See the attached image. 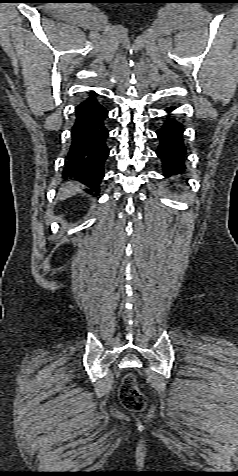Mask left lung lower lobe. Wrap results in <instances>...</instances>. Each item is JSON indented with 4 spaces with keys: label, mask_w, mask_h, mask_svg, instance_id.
Listing matches in <instances>:
<instances>
[{
    "label": "left lung lower lobe",
    "mask_w": 238,
    "mask_h": 476,
    "mask_svg": "<svg viewBox=\"0 0 238 476\" xmlns=\"http://www.w3.org/2000/svg\"><path fill=\"white\" fill-rule=\"evenodd\" d=\"M174 109L170 107L166 111L170 113ZM156 133L160 142L156 154L162 161L163 173L168 175L183 172L186 168L187 149L184 144L182 123L168 114Z\"/></svg>",
    "instance_id": "obj_1"
}]
</instances>
